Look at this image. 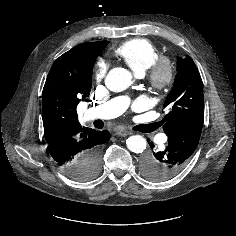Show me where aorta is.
<instances>
[{
    "label": "aorta",
    "mask_w": 236,
    "mask_h": 236,
    "mask_svg": "<svg viewBox=\"0 0 236 236\" xmlns=\"http://www.w3.org/2000/svg\"><path fill=\"white\" fill-rule=\"evenodd\" d=\"M132 83V74L125 68H113L106 76L105 84L113 92H121ZM127 148L134 153H142L147 146L146 139L141 135L130 136L126 140Z\"/></svg>",
    "instance_id": "obj_1"
}]
</instances>
